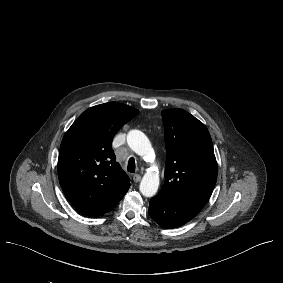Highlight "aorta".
<instances>
[{
    "label": "aorta",
    "instance_id": "aorta-1",
    "mask_svg": "<svg viewBox=\"0 0 283 283\" xmlns=\"http://www.w3.org/2000/svg\"><path fill=\"white\" fill-rule=\"evenodd\" d=\"M129 147L146 161L153 154L151 143L147 136L140 130H131L127 135ZM159 188V174L155 170H148L141 182L140 192L145 197H153Z\"/></svg>",
    "mask_w": 283,
    "mask_h": 283
}]
</instances>
